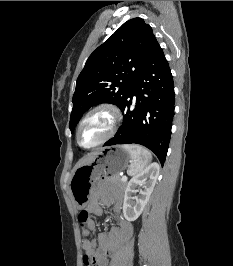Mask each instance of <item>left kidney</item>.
I'll return each mask as SVG.
<instances>
[{
  "mask_svg": "<svg viewBox=\"0 0 233 266\" xmlns=\"http://www.w3.org/2000/svg\"><path fill=\"white\" fill-rule=\"evenodd\" d=\"M159 169L157 163H152L129 181L125 189L123 204V214L126 220L134 221L142 213L156 184ZM139 187L143 190L139 191V196L133 197V193Z\"/></svg>",
  "mask_w": 233,
  "mask_h": 266,
  "instance_id": "1",
  "label": "left kidney"
}]
</instances>
